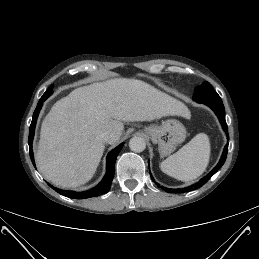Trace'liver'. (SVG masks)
<instances>
[{"instance_id": "liver-1", "label": "liver", "mask_w": 259, "mask_h": 259, "mask_svg": "<svg viewBox=\"0 0 259 259\" xmlns=\"http://www.w3.org/2000/svg\"><path fill=\"white\" fill-rule=\"evenodd\" d=\"M189 116L175 98L141 80L115 78L73 90L45 116L36 163L46 180L75 188L94 175L105 145L98 135L108 131V144L120 139L123 122Z\"/></svg>"}]
</instances>
